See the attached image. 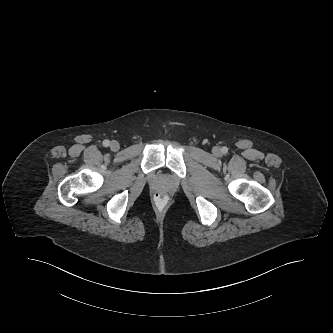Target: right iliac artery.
I'll return each instance as SVG.
<instances>
[{"label": "right iliac artery", "mask_w": 333, "mask_h": 333, "mask_svg": "<svg viewBox=\"0 0 333 333\" xmlns=\"http://www.w3.org/2000/svg\"><path fill=\"white\" fill-rule=\"evenodd\" d=\"M110 145V141L109 140H104L103 141V146L108 147Z\"/></svg>", "instance_id": "right-iliac-artery-1"}]
</instances>
